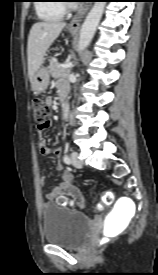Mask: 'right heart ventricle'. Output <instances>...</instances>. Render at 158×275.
<instances>
[{"mask_svg": "<svg viewBox=\"0 0 158 275\" xmlns=\"http://www.w3.org/2000/svg\"><path fill=\"white\" fill-rule=\"evenodd\" d=\"M61 0H41L36 5L38 16L43 20H61L66 12Z\"/></svg>", "mask_w": 158, "mask_h": 275, "instance_id": "obj_1", "label": "right heart ventricle"}]
</instances>
